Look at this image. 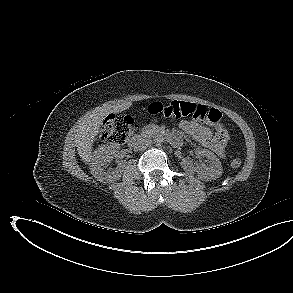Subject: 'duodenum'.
Returning a JSON list of instances; mask_svg holds the SVG:
<instances>
[{
	"label": "duodenum",
	"instance_id": "duodenum-1",
	"mask_svg": "<svg viewBox=\"0 0 293 293\" xmlns=\"http://www.w3.org/2000/svg\"><path fill=\"white\" fill-rule=\"evenodd\" d=\"M152 131H155V130H152ZM155 132L158 133V134L163 135L174 146H178L180 144L179 137L176 136L173 133H170V132H167V131H164V130H156ZM145 137H146V134L134 136L130 140L129 146L130 147H137V146L141 145V143L144 141Z\"/></svg>",
	"mask_w": 293,
	"mask_h": 293
}]
</instances>
